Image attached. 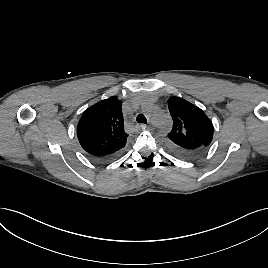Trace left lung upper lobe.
I'll list each match as a JSON object with an SVG mask.
<instances>
[{
    "mask_svg": "<svg viewBox=\"0 0 268 268\" xmlns=\"http://www.w3.org/2000/svg\"><path fill=\"white\" fill-rule=\"evenodd\" d=\"M173 127L167 141L186 148L185 145L198 143L208 149L213 139L214 127L211 120L197 106L179 98L168 99Z\"/></svg>",
    "mask_w": 268,
    "mask_h": 268,
    "instance_id": "obj_1",
    "label": "left lung upper lobe"
}]
</instances>
